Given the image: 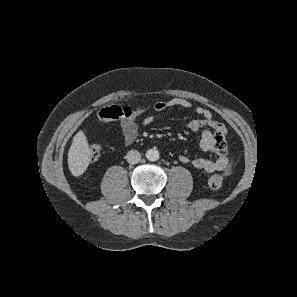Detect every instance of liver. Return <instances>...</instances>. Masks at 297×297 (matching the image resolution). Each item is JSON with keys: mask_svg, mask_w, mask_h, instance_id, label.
Wrapping results in <instances>:
<instances>
[{"mask_svg": "<svg viewBox=\"0 0 297 297\" xmlns=\"http://www.w3.org/2000/svg\"><path fill=\"white\" fill-rule=\"evenodd\" d=\"M91 160V151L86 136L80 130L73 138V142L68 152L69 170L73 176L82 175Z\"/></svg>", "mask_w": 297, "mask_h": 297, "instance_id": "6515ba94", "label": "liver"}]
</instances>
